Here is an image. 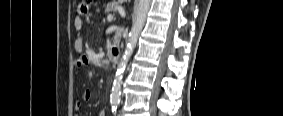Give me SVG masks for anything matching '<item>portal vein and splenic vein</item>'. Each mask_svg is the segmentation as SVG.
Returning a JSON list of instances; mask_svg holds the SVG:
<instances>
[{
  "label": "portal vein and splenic vein",
  "instance_id": "portal-vein-and-splenic-vein-1",
  "mask_svg": "<svg viewBox=\"0 0 283 116\" xmlns=\"http://www.w3.org/2000/svg\"><path fill=\"white\" fill-rule=\"evenodd\" d=\"M112 20H113V15H108V16H107V21H108V22H111Z\"/></svg>",
  "mask_w": 283,
  "mask_h": 116
}]
</instances>
